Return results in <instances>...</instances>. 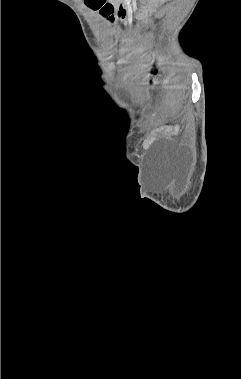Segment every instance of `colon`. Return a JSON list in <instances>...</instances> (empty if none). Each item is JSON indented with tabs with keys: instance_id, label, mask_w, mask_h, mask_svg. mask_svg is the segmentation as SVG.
<instances>
[{
	"instance_id": "colon-1",
	"label": "colon",
	"mask_w": 241,
	"mask_h": 379,
	"mask_svg": "<svg viewBox=\"0 0 241 379\" xmlns=\"http://www.w3.org/2000/svg\"><path fill=\"white\" fill-rule=\"evenodd\" d=\"M86 5L101 15L107 17L113 13L112 6L106 0H86Z\"/></svg>"
}]
</instances>
